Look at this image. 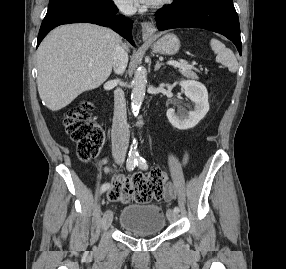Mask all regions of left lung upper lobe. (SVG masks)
Instances as JSON below:
<instances>
[{
    "label": "left lung upper lobe",
    "mask_w": 286,
    "mask_h": 269,
    "mask_svg": "<svg viewBox=\"0 0 286 269\" xmlns=\"http://www.w3.org/2000/svg\"><path fill=\"white\" fill-rule=\"evenodd\" d=\"M176 2H184V1H188V0H174Z\"/></svg>",
    "instance_id": "5c2ea615"
}]
</instances>
